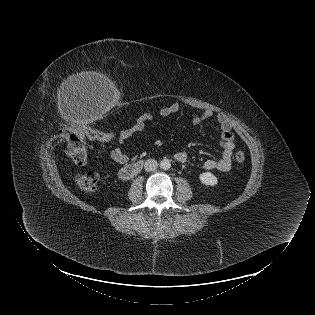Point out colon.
<instances>
[{"instance_id":"1","label":"colon","mask_w":315,"mask_h":315,"mask_svg":"<svg viewBox=\"0 0 315 315\" xmlns=\"http://www.w3.org/2000/svg\"><path fill=\"white\" fill-rule=\"evenodd\" d=\"M87 139L107 142L111 140V136L91 127L71 129L67 134V152L71 160L78 166H83L87 163ZM235 160L237 163H243L245 161V153L237 151ZM76 184L82 191L89 194L94 193L98 186V176L94 172L81 174L77 176Z\"/></svg>"}]
</instances>
